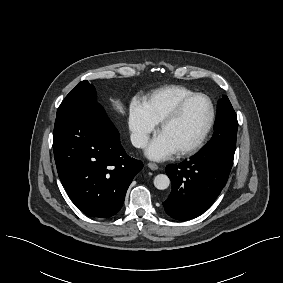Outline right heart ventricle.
<instances>
[{"instance_id":"right-heart-ventricle-1","label":"right heart ventricle","mask_w":283,"mask_h":283,"mask_svg":"<svg viewBox=\"0 0 283 283\" xmlns=\"http://www.w3.org/2000/svg\"><path fill=\"white\" fill-rule=\"evenodd\" d=\"M195 92L182 85H167L154 90L144 100L147 116L155 123H160L186 97Z\"/></svg>"}]
</instances>
